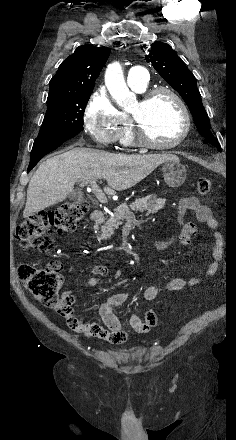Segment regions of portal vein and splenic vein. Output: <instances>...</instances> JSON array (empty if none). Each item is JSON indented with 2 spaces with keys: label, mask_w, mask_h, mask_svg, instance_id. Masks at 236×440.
Masks as SVG:
<instances>
[{
  "label": "portal vein and splenic vein",
  "mask_w": 236,
  "mask_h": 440,
  "mask_svg": "<svg viewBox=\"0 0 236 440\" xmlns=\"http://www.w3.org/2000/svg\"><path fill=\"white\" fill-rule=\"evenodd\" d=\"M87 182H82L81 185L84 186L86 185ZM91 184V188L93 193L95 194L96 198L101 202L106 204L108 202L107 197L105 196V194L102 192V190L98 187L97 183L95 180L90 181Z\"/></svg>",
  "instance_id": "18ae733b"
}]
</instances>
